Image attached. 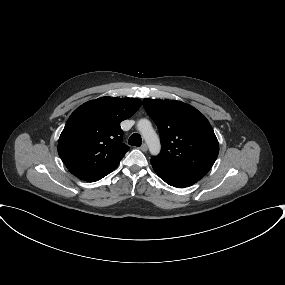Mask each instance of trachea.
I'll use <instances>...</instances> for the list:
<instances>
[{"label": "trachea", "instance_id": "1", "mask_svg": "<svg viewBox=\"0 0 285 285\" xmlns=\"http://www.w3.org/2000/svg\"><path fill=\"white\" fill-rule=\"evenodd\" d=\"M128 143L129 145L139 147L142 144V138L138 133H134L130 136Z\"/></svg>", "mask_w": 285, "mask_h": 285}]
</instances>
